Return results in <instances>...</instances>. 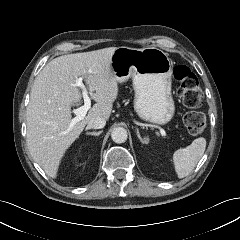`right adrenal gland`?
Wrapping results in <instances>:
<instances>
[{
  "label": "right adrenal gland",
  "mask_w": 240,
  "mask_h": 240,
  "mask_svg": "<svg viewBox=\"0 0 240 240\" xmlns=\"http://www.w3.org/2000/svg\"><path fill=\"white\" fill-rule=\"evenodd\" d=\"M101 133H102V131H98V132H87L86 135L99 136Z\"/></svg>",
  "instance_id": "right-adrenal-gland-1"
}]
</instances>
